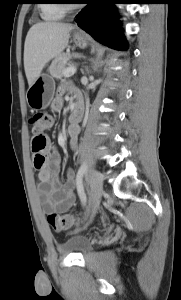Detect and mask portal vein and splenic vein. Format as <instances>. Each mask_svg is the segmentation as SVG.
I'll return each instance as SVG.
<instances>
[{
  "mask_svg": "<svg viewBox=\"0 0 181 300\" xmlns=\"http://www.w3.org/2000/svg\"><path fill=\"white\" fill-rule=\"evenodd\" d=\"M75 72H76V66L71 65L65 70L64 76L70 77L71 75L75 74Z\"/></svg>",
  "mask_w": 181,
  "mask_h": 300,
  "instance_id": "portal-vein-and-splenic-vein-1",
  "label": "portal vein and splenic vein"
}]
</instances>
